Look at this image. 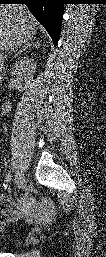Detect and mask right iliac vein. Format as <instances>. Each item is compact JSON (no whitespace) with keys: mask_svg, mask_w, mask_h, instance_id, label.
Returning a JSON list of instances; mask_svg holds the SVG:
<instances>
[{"mask_svg":"<svg viewBox=\"0 0 106 257\" xmlns=\"http://www.w3.org/2000/svg\"><path fill=\"white\" fill-rule=\"evenodd\" d=\"M15 180L19 186V189H23L24 188V182H25V178H24V174L21 172H17L16 176H15Z\"/></svg>","mask_w":106,"mask_h":257,"instance_id":"1","label":"right iliac vein"}]
</instances>
